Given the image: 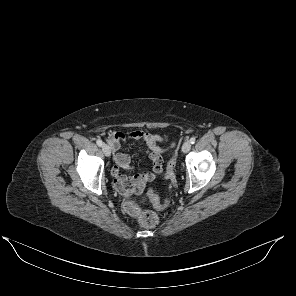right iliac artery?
Wrapping results in <instances>:
<instances>
[{
    "instance_id": "82829eb1",
    "label": "right iliac artery",
    "mask_w": 296,
    "mask_h": 296,
    "mask_svg": "<svg viewBox=\"0 0 296 296\" xmlns=\"http://www.w3.org/2000/svg\"><path fill=\"white\" fill-rule=\"evenodd\" d=\"M96 143H97V145L100 146V147L103 145V142H102L101 139H98V140L96 141Z\"/></svg>"
}]
</instances>
